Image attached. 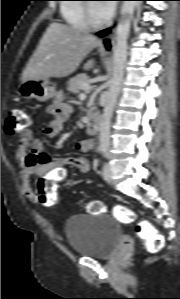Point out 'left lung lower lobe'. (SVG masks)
<instances>
[{"label": "left lung lower lobe", "instance_id": "obj_1", "mask_svg": "<svg viewBox=\"0 0 180 299\" xmlns=\"http://www.w3.org/2000/svg\"><path fill=\"white\" fill-rule=\"evenodd\" d=\"M108 33H110V29H105L103 31H100L98 33V35L103 37V36L107 35Z\"/></svg>", "mask_w": 180, "mask_h": 299}]
</instances>
